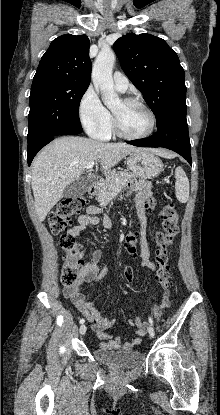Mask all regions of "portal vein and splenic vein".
Segmentation results:
<instances>
[{
	"label": "portal vein and splenic vein",
	"instance_id": "portal-vein-and-splenic-vein-1",
	"mask_svg": "<svg viewBox=\"0 0 220 415\" xmlns=\"http://www.w3.org/2000/svg\"><path fill=\"white\" fill-rule=\"evenodd\" d=\"M94 161H92V162H89L88 164H87V166H86V169H92L93 168V166H94ZM117 193H115L114 195H116Z\"/></svg>",
	"mask_w": 220,
	"mask_h": 415
}]
</instances>
